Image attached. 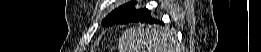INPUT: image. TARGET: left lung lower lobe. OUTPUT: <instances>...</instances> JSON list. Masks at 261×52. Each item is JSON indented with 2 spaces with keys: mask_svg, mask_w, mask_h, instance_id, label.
Listing matches in <instances>:
<instances>
[{
  "mask_svg": "<svg viewBox=\"0 0 261 52\" xmlns=\"http://www.w3.org/2000/svg\"><path fill=\"white\" fill-rule=\"evenodd\" d=\"M136 22H149L150 24L153 23H159V21L157 19H152V17L150 16V11H147L139 20H137Z\"/></svg>",
  "mask_w": 261,
  "mask_h": 52,
  "instance_id": "0a47b994",
  "label": "left lung lower lobe"
}]
</instances>
